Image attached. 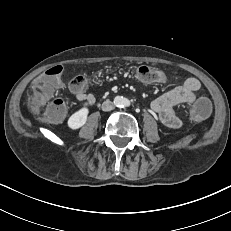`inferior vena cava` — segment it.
<instances>
[{"instance_id":"inferior-vena-cava-1","label":"inferior vena cava","mask_w":231,"mask_h":231,"mask_svg":"<svg viewBox=\"0 0 231 231\" xmlns=\"http://www.w3.org/2000/svg\"><path fill=\"white\" fill-rule=\"evenodd\" d=\"M114 108V105L111 101L106 100L102 104V110L103 111H111Z\"/></svg>"}]
</instances>
